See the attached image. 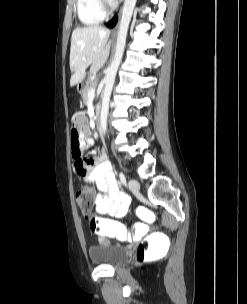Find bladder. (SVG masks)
Returning a JSON list of instances; mask_svg holds the SVG:
<instances>
[{
    "instance_id": "1",
    "label": "bladder",
    "mask_w": 247,
    "mask_h": 304,
    "mask_svg": "<svg viewBox=\"0 0 247 304\" xmlns=\"http://www.w3.org/2000/svg\"><path fill=\"white\" fill-rule=\"evenodd\" d=\"M88 254L95 265L117 267L128 257V249L116 244H102L90 247Z\"/></svg>"
}]
</instances>
